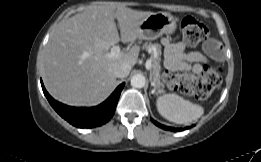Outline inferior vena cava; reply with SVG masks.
I'll return each mask as SVG.
<instances>
[{"mask_svg": "<svg viewBox=\"0 0 261 162\" xmlns=\"http://www.w3.org/2000/svg\"><path fill=\"white\" fill-rule=\"evenodd\" d=\"M131 67L127 63H122L114 67L113 74L117 78L127 77L130 73Z\"/></svg>", "mask_w": 261, "mask_h": 162, "instance_id": "1", "label": "inferior vena cava"}]
</instances>
